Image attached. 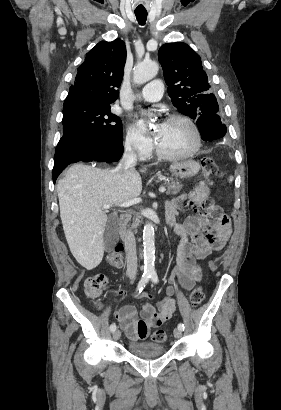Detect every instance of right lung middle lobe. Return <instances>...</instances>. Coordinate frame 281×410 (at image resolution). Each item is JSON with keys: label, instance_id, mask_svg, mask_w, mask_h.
<instances>
[{"label": "right lung middle lobe", "instance_id": "obj_1", "mask_svg": "<svg viewBox=\"0 0 281 410\" xmlns=\"http://www.w3.org/2000/svg\"><path fill=\"white\" fill-rule=\"evenodd\" d=\"M63 136L56 151L85 143L122 141V122L110 106L71 104L63 106Z\"/></svg>", "mask_w": 281, "mask_h": 410}]
</instances>
